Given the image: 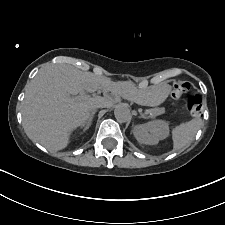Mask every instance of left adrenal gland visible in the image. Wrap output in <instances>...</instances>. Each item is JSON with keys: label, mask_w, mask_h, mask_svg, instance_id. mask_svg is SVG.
Segmentation results:
<instances>
[{"label": "left adrenal gland", "mask_w": 225, "mask_h": 225, "mask_svg": "<svg viewBox=\"0 0 225 225\" xmlns=\"http://www.w3.org/2000/svg\"><path fill=\"white\" fill-rule=\"evenodd\" d=\"M140 118L148 119L149 117H147V116H145L144 114L140 113Z\"/></svg>", "instance_id": "1"}]
</instances>
